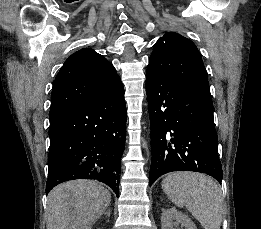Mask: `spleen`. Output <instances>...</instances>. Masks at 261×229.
<instances>
[{"label": "spleen", "instance_id": "obj_1", "mask_svg": "<svg viewBox=\"0 0 261 229\" xmlns=\"http://www.w3.org/2000/svg\"><path fill=\"white\" fill-rule=\"evenodd\" d=\"M162 189L176 207H186L203 229H220L223 195L213 179L203 173L175 171L163 179Z\"/></svg>", "mask_w": 261, "mask_h": 229}]
</instances>
